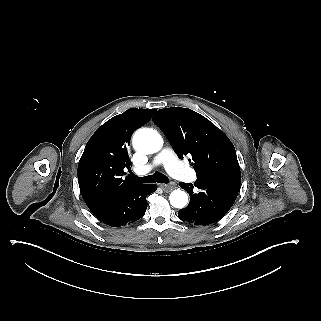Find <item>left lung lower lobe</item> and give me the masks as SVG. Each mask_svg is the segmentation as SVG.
I'll use <instances>...</instances> for the list:
<instances>
[{
	"mask_svg": "<svg viewBox=\"0 0 321 321\" xmlns=\"http://www.w3.org/2000/svg\"><path fill=\"white\" fill-rule=\"evenodd\" d=\"M241 172H223L199 176L194 185L180 182L190 195V203L178 212L181 220L209 225L221 219L236 200Z\"/></svg>",
	"mask_w": 321,
	"mask_h": 321,
	"instance_id": "left-lung-lower-lobe-1",
	"label": "left lung lower lobe"
}]
</instances>
